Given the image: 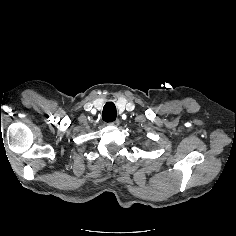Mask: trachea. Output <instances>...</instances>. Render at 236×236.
<instances>
[{"label":"trachea","instance_id":"3493384b","mask_svg":"<svg viewBox=\"0 0 236 236\" xmlns=\"http://www.w3.org/2000/svg\"><path fill=\"white\" fill-rule=\"evenodd\" d=\"M116 117L117 111L115 104L113 102H107L102 111V119L105 122H113L116 120Z\"/></svg>","mask_w":236,"mask_h":236}]
</instances>
